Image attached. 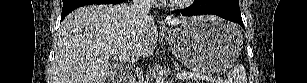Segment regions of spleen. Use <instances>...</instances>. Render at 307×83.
I'll return each mask as SVG.
<instances>
[{
	"instance_id": "obj_1",
	"label": "spleen",
	"mask_w": 307,
	"mask_h": 83,
	"mask_svg": "<svg viewBox=\"0 0 307 83\" xmlns=\"http://www.w3.org/2000/svg\"><path fill=\"white\" fill-rule=\"evenodd\" d=\"M227 83H247L245 68L242 65H236L227 74Z\"/></svg>"
}]
</instances>
